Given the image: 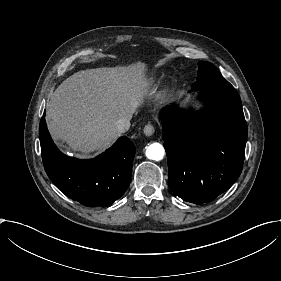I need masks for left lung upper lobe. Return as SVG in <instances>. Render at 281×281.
I'll list each match as a JSON object with an SVG mask.
<instances>
[{
    "label": "left lung upper lobe",
    "mask_w": 281,
    "mask_h": 281,
    "mask_svg": "<svg viewBox=\"0 0 281 281\" xmlns=\"http://www.w3.org/2000/svg\"><path fill=\"white\" fill-rule=\"evenodd\" d=\"M199 70L192 90H201L208 87H231L232 85L221 75L219 70L209 62L199 61Z\"/></svg>",
    "instance_id": "5c2ea615"
}]
</instances>
